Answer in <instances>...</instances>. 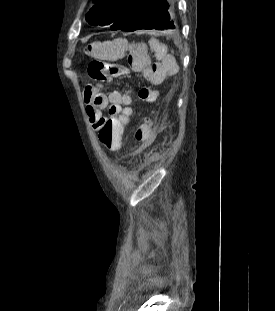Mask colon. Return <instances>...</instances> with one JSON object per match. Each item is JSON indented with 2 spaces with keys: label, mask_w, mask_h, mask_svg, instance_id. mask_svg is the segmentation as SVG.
Wrapping results in <instances>:
<instances>
[{
  "label": "colon",
  "mask_w": 275,
  "mask_h": 311,
  "mask_svg": "<svg viewBox=\"0 0 275 311\" xmlns=\"http://www.w3.org/2000/svg\"><path fill=\"white\" fill-rule=\"evenodd\" d=\"M103 44L100 42L91 43L86 46L85 52L93 57L87 67L88 75L97 81H106L110 77L123 75V69L114 63L107 62L99 58L103 53ZM139 98L142 101L154 102L157 93L150 87H142L139 90ZM128 118L103 119L98 129L100 143L111 151H116L122 146V135L120 130L128 129Z\"/></svg>",
  "instance_id": "colon-1"
}]
</instances>
